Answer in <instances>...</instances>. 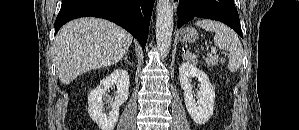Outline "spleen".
Returning <instances> with one entry per match:
<instances>
[{"label": "spleen", "instance_id": "obj_1", "mask_svg": "<svg viewBox=\"0 0 299 130\" xmlns=\"http://www.w3.org/2000/svg\"><path fill=\"white\" fill-rule=\"evenodd\" d=\"M195 25L203 28L206 31L215 33V46L229 51L228 69L231 72L237 71L242 64L243 48L236 33L228 26L213 20H198Z\"/></svg>", "mask_w": 299, "mask_h": 130}]
</instances>
